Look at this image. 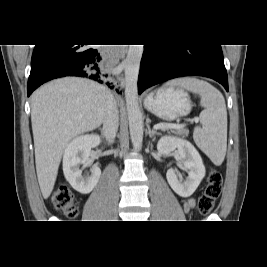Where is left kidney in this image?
<instances>
[{
    "label": "left kidney",
    "mask_w": 267,
    "mask_h": 267,
    "mask_svg": "<svg viewBox=\"0 0 267 267\" xmlns=\"http://www.w3.org/2000/svg\"><path fill=\"white\" fill-rule=\"evenodd\" d=\"M176 149L181 164L188 170V176L185 180L179 179L176 170L170 168L166 173V178L175 193L181 197H189L204 178L205 167L199 152L189 141L172 136H163L157 143V150L163 154H168Z\"/></svg>",
    "instance_id": "obj_1"
}]
</instances>
